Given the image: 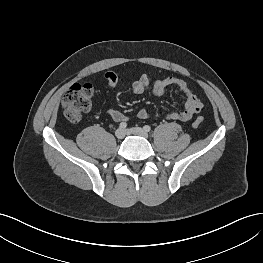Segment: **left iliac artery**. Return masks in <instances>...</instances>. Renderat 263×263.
<instances>
[{
    "label": "left iliac artery",
    "mask_w": 263,
    "mask_h": 263,
    "mask_svg": "<svg viewBox=\"0 0 263 263\" xmlns=\"http://www.w3.org/2000/svg\"><path fill=\"white\" fill-rule=\"evenodd\" d=\"M143 129L146 131V132H149L151 130V127L149 125H145L143 127Z\"/></svg>",
    "instance_id": "44dca946"
}]
</instances>
